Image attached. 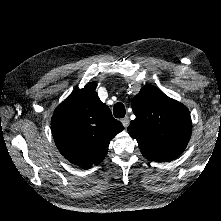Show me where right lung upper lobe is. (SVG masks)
I'll return each instance as SVG.
<instances>
[{"label":"right lung upper lobe","instance_id":"cb5924a9","mask_svg":"<svg viewBox=\"0 0 221 221\" xmlns=\"http://www.w3.org/2000/svg\"><path fill=\"white\" fill-rule=\"evenodd\" d=\"M96 83L75 89L54 111L51 128L60 153L70 162L91 167L102 162L110 141L124 127L96 93Z\"/></svg>","mask_w":221,"mask_h":221}]
</instances>
